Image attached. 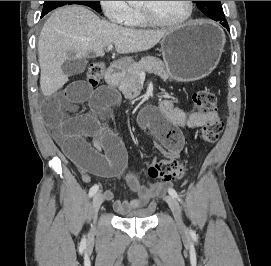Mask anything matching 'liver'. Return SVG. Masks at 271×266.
Here are the masks:
<instances>
[{"mask_svg": "<svg viewBox=\"0 0 271 266\" xmlns=\"http://www.w3.org/2000/svg\"><path fill=\"white\" fill-rule=\"evenodd\" d=\"M168 32L118 26L84 6L59 8L45 22L38 41L42 93L51 96L68 81L61 67L70 54L78 58L91 53L103 56L104 48L113 44L120 54L146 51Z\"/></svg>", "mask_w": 271, "mask_h": 266, "instance_id": "liver-1", "label": "liver"}]
</instances>
